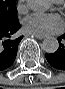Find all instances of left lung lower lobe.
<instances>
[{
  "mask_svg": "<svg viewBox=\"0 0 65 89\" xmlns=\"http://www.w3.org/2000/svg\"><path fill=\"white\" fill-rule=\"evenodd\" d=\"M58 42V51L45 54V57L52 67L65 71V34L58 38Z\"/></svg>",
  "mask_w": 65,
  "mask_h": 89,
  "instance_id": "obj_1",
  "label": "left lung lower lobe"
}]
</instances>
